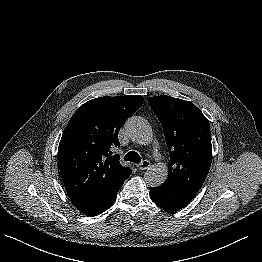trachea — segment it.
I'll use <instances>...</instances> for the list:
<instances>
[{
    "instance_id": "trachea-1",
    "label": "trachea",
    "mask_w": 262,
    "mask_h": 262,
    "mask_svg": "<svg viewBox=\"0 0 262 262\" xmlns=\"http://www.w3.org/2000/svg\"><path fill=\"white\" fill-rule=\"evenodd\" d=\"M126 161L134 162V163H140L141 157L137 152L131 151L127 153L124 157Z\"/></svg>"
}]
</instances>
